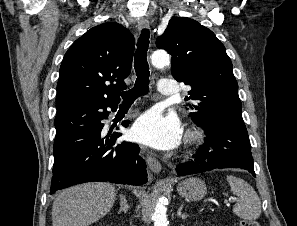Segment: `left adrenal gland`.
I'll return each instance as SVG.
<instances>
[{
	"label": "left adrenal gland",
	"instance_id": "1",
	"mask_svg": "<svg viewBox=\"0 0 297 226\" xmlns=\"http://www.w3.org/2000/svg\"><path fill=\"white\" fill-rule=\"evenodd\" d=\"M182 209H183V204H181L180 208L178 209L177 215L179 217H181L182 219H186L188 217V215L185 213L182 214Z\"/></svg>",
	"mask_w": 297,
	"mask_h": 226
}]
</instances>
